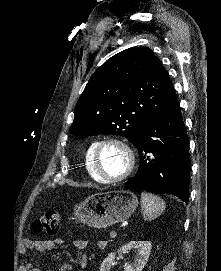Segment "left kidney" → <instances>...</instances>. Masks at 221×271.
<instances>
[{"instance_id": "left-kidney-1", "label": "left kidney", "mask_w": 221, "mask_h": 271, "mask_svg": "<svg viewBox=\"0 0 221 271\" xmlns=\"http://www.w3.org/2000/svg\"><path fill=\"white\" fill-rule=\"evenodd\" d=\"M129 249H135L134 261L126 263L124 271H142L152 249L151 241H128V243H124L117 251L108 253L101 263L100 271H111V267L115 265L116 253H126Z\"/></svg>"}]
</instances>
